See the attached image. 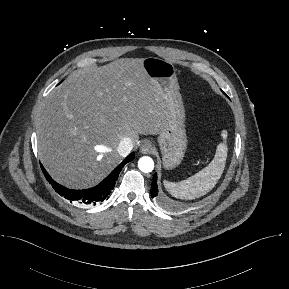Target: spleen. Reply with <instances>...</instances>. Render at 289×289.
Returning <instances> with one entry per match:
<instances>
[{
	"mask_svg": "<svg viewBox=\"0 0 289 289\" xmlns=\"http://www.w3.org/2000/svg\"><path fill=\"white\" fill-rule=\"evenodd\" d=\"M222 136L226 138L224 131ZM228 148L225 143L217 146L214 159L198 173L180 182L164 181L166 190L174 197L180 199H195L212 190L220 179L226 164Z\"/></svg>",
	"mask_w": 289,
	"mask_h": 289,
	"instance_id": "spleen-1",
	"label": "spleen"
}]
</instances>
